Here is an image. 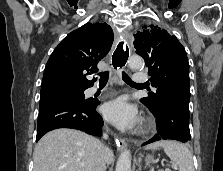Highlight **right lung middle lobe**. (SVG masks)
<instances>
[{"instance_id":"right-lung-middle-lobe-1","label":"right lung middle lobe","mask_w":223,"mask_h":171,"mask_svg":"<svg viewBox=\"0 0 223 171\" xmlns=\"http://www.w3.org/2000/svg\"><path fill=\"white\" fill-rule=\"evenodd\" d=\"M56 100H75L82 103H89L92 101L91 99H85L83 91H74V92L59 93L49 97L40 98L39 106L43 105L44 103Z\"/></svg>"}]
</instances>
